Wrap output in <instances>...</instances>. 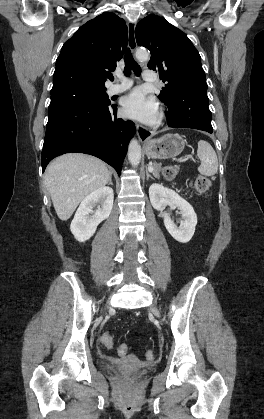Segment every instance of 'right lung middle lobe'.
<instances>
[{
    "mask_svg": "<svg viewBox=\"0 0 264 419\" xmlns=\"http://www.w3.org/2000/svg\"><path fill=\"white\" fill-rule=\"evenodd\" d=\"M106 89H73L61 92L51 97L50 106L65 101H87L97 104L109 105Z\"/></svg>",
    "mask_w": 264,
    "mask_h": 419,
    "instance_id": "dd1d6c3e",
    "label": "right lung middle lobe"
}]
</instances>
